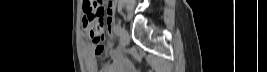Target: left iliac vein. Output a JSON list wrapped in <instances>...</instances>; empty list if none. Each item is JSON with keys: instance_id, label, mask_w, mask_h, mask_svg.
I'll return each instance as SVG.
<instances>
[{"instance_id": "1", "label": "left iliac vein", "mask_w": 267, "mask_h": 72, "mask_svg": "<svg viewBox=\"0 0 267 72\" xmlns=\"http://www.w3.org/2000/svg\"><path fill=\"white\" fill-rule=\"evenodd\" d=\"M121 44L125 48L129 43V34L125 29L121 28Z\"/></svg>"}]
</instances>
